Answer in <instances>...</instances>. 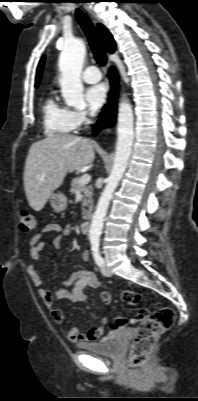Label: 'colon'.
I'll return each mask as SVG.
<instances>
[{
	"label": "colon",
	"mask_w": 198,
	"mask_h": 401,
	"mask_svg": "<svg viewBox=\"0 0 198 401\" xmlns=\"http://www.w3.org/2000/svg\"><path fill=\"white\" fill-rule=\"evenodd\" d=\"M18 221L23 232L29 233L37 229L36 217L27 210L19 211ZM121 299L127 305L136 306L140 296L135 291L124 290ZM136 320L139 326L129 349L128 364L132 369L138 370L147 363L161 335L173 326L175 312L170 307H159L154 311L142 308L137 312ZM126 324L124 317H116L109 323L112 329L123 328Z\"/></svg>",
	"instance_id": "5ec220e1"
}]
</instances>
